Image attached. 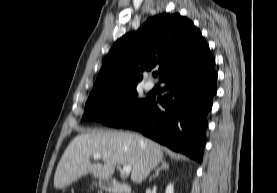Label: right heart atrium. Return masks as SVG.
I'll return each mask as SVG.
<instances>
[{"mask_svg": "<svg viewBox=\"0 0 277 193\" xmlns=\"http://www.w3.org/2000/svg\"><path fill=\"white\" fill-rule=\"evenodd\" d=\"M125 109V105L124 104H120L117 108L118 112H123Z\"/></svg>", "mask_w": 277, "mask_h": 193, "instance_id": "d8ad5b80", "label": "right heart atrium"}]
</instances>
